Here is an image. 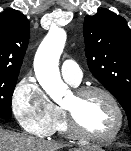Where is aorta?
<instances>
[{
	"label": "aorta",
	"instance_id": "obj_1",
	"mask_svg": "<svg viewBox=\"0 0 131 151\" xmlns=\"http://www.w3.org/2000/svg\"><path fill=\"white\" fill-rule=\"evenodd\" d=\"M66 34L61 28H52L40 44L34 60V70L38 82L49 96L58 101L66 92L58 63L63 51Z\"/></svg>",
	"mask_w": 131,
	"mask_h": 151
}]
</instances>
